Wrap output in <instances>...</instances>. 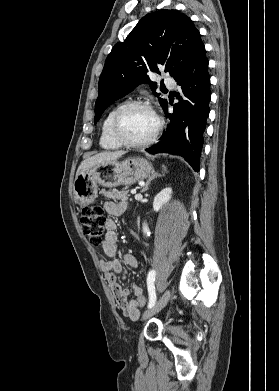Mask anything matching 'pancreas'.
Returning a JSON list of instances; mask_svg holds the SVG:
<instances>
[{
	"mask_svg": "<svg viewBox=\"0 0 279 391\" xmlns=\"http://www.w3.org/2000/svg\"><path fill=\"white\" fill-rule=\"evenodd\" d=\"M100 193L106 198L121 201H127L128 197L130 196L127 191L101 190Z\"/></svg>",
	"mask_w": 279,
	"mask_h": 391,
	"instance_id": "obj_1",
	"label": "pancreas"
}]
</instances>
